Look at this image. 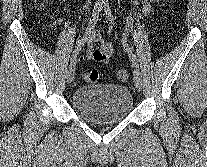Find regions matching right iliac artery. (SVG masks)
Wrapping results in <instances>:
<instances>
[{"label":"right iliac artery","mask_w":207,"mask_h":167,"mask_svg":"<svg viewBox=\"0 0 207 167\" xmlns=\"http://www.w3.org/2000/svg\"><path fill=\"white\" fill-rule=\"evenodd\" d=\"M102 5H103L102 0H97V2L95 3L93 13H92V16L90 18L87 29L85 31V34H84L82 40L79 42L78 46L75 48V50L72 53V56H71V59H70L71 62H73L75 60L76 56L78 55L79 51L81 50V47L88 40V37H89L90 33L94 29V27H95V25L98 21L99 13L102 9Z\"/></svg>","instance_id":"82829eb1"}]
</instances>
